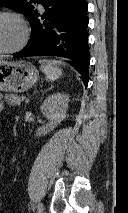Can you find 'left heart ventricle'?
I'll list each match as a JSON object with an SVG mask.
<instances>
[{
  "label": "left heart ventricle",
  "instance_id": "obj_1",
  "mask_svg": "<svg viewBox=\"0 0 128 213\" xmlns=\"http://www.w3.org/2000/svg\"><path fill=\"white\" fill-rule=\"evenodd\" d=\"M21 37L20 24L10 16H0V50L14 47Z\"/></svg>",
  "mask_w": 128,
  "mask_h": 213
}]
</instances>
